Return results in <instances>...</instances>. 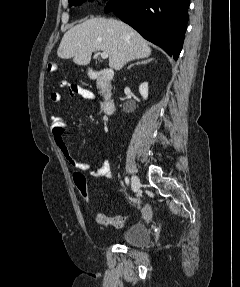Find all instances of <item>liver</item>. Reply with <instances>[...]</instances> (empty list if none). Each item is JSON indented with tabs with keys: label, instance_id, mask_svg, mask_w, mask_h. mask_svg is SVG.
Listing matches in <instances>:
<instances>
[{
	"label": "liver",
	"instance_id": "6515ba94",
	"mask_svg": "<svg viewBox=\"0 0 240 287\" xmlns=\"http://www.w3.org/2000/svg\"><path fill=\"white\" fill-rule=\"evenodd\" d=\"M108 53L109 67L120 70L129 61L151 54L147 41L132 27L116 19L90 18L69 29L57 50L58 57L77 65L90 63L93 52Z\"/></svg>",
	"mask_w": 240,
	"mask_h": 287
}]
</instances>
